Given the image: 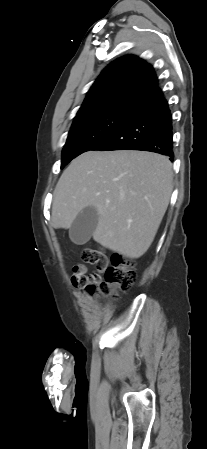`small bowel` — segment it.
Instances as JSON below:
<instances>
[{"label": "small bowel", "mask_w": 207, "mask_h": 449, "mask_svg": "<svg viewBox=\"0 0 207 449\" xmlns=\"http://www.w3.org/2000/svg\"><path fill=\"white\" fill-rule=\"evenodd\" d=\"M73 274L71 276V283L75 286L80 285L83 281H85V274L87 272V268L84 264H77L72 269Z\"/></svg>", "instance_id": "c3829d8e"}]
</instances>
